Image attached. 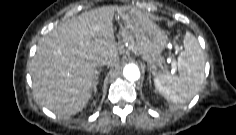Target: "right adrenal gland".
<instances>
[{
  "label": "right adrenal gland",
  "instance_id": "2a0ac1e0",
  "mask_svg": "<svg viewBox=\"0 0 236 135\" xmlns=\"http://www.w3.org/2000/svg\"><path fill=\"white\" fill-rule=\"evenodd\" d=\"M98 75H99V73L97 72L96 77H95V81H94V86H93L94 93L97 92V85L99 83Z\"/></svg>",
  "mask_w": 236,
  "mask_h": 135
}]
</instances>
